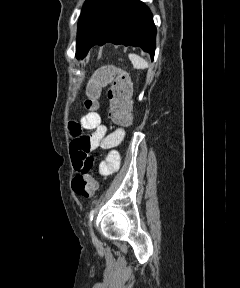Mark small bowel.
Here are the masks:
<instances>
[{
    "instance_id": "1",
    "label": "small bowel",
    "mask_w": 240,
    "mask_h": 288,
    "mask_svg": "<svg viewBox=\"0 0 240 288\" xmlns=\"http://www.w3.org/2000/svg\"><path fill=\"white\" fill-rule=\"evenodd\" d=\"M68 129L72 136L70 152L74 169L77 172H87L92 164L90 152L98 147L111 149L105 160L99 164V173L108 176L119 169L120 155L114 148L121 142L123 131L118 129L108 133L107 127L102 123L101 114L90 111L84 114L79 121H70ZM91 131L83 134V131Z\"/></svg>"
}]
</instances>
